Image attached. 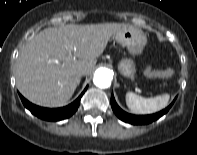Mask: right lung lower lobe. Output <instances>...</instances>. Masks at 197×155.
<instances>
[{"instance_id":"right-lung-lower-lobe-1","label":"right lung lower lobe","mask_w":197,"mask_h":155,"mask_svg":"<svg viewBox=\"0 0 197 155\" xmlns=\"http://www.w3.org/2000/svg\"><path fill=\"white\" fill-rule=\"evenodd\" d=\"M86 90H87V87L84 89L81 95L74 102L62 108H53V109L43 108V107H39L30 103L21 95H20V98L22 100L23 105L28 110H30V112L34 114L35 116L43 120H47V121H59V120L69 118L76 112V110L79 107L80 99Z\"/></svg>"}]
</instances>
